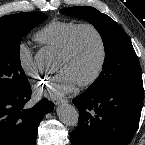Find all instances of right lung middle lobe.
<instances>
[{
    "label": "right lung middle lobe",
    "mask_w": 145,
    "mask_h": 145,
    "mask_svg": "<svg viewBox=\"0 0 145 145\" xmlns=\"http://www.w3.org/2000/svg\"><path fill=\"white\" fill-rule=\"evenodd\" d=\"M46 19V14L39 12L0 18V93L19 92L29 84L20 64V42L24 35Z\"/></svg>",
    "instance_id": "1"
}]
</instances>
